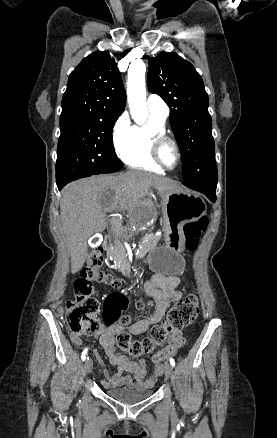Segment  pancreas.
Masks as SVG:
<instances>
[{"mask_svg": "<svg viewBox=\"0 0 277 438\" xmlns=\"http://www.w3.org/2000/svg\"><path fill=\"white\" fill-rule=\"evenodd\" d=\"M159 231H140L138 234L134 231H108L107 232V257L108 267L110 270H117L118 267H130V251H126L124 244L126 240H134L138 237L140 244H134L131 248L134 253H150L154 244L160 242Z\"/></svg>", "mask_w": 277, "mask_h": 438, "instance_id": "1", "label": "pancreas"}]
</instances>
